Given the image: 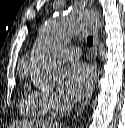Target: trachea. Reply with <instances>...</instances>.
<instances>
[{
	"label": "trachea",
	"mask_w": 125,
	"mask_h": 128,
	"mask_svg": "<svg viewBox=\"0 0 125 128\" xmlns=\"http://www.w3.org/2000/svg\"><path fill=\"white\" fill-rule=\"evenodd\" d=\"M87 44H88L89 47H91L93 45V37L92 36H89L87 38Z\"/></svg>",
	"instance_id": "trachea-1"
}]
</instances>
